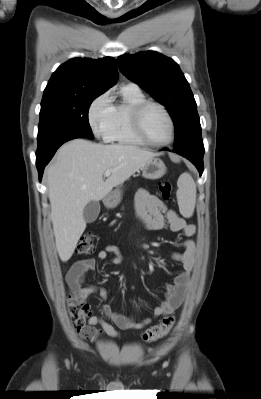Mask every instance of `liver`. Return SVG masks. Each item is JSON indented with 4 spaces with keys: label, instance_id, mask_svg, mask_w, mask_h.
<instances>
[{
    "label": "liver",
    "instance_id": "obj_1",
    "mask_svg": "<svg viewBox=\"0 0 261 399\" xmlns=\"http://www.w3.org/2000/svg\"><path fill=\"white\" fill-rule=\"evenodd\" d=\"M131 145L74 139L63 145L46 169L51 221L61 261H68L86 228L84 207L105 198L117 185L155 157ZM111 175L103 180L105 171Z\"/></svg>",
    "mask_w": 261,
    "mask_h": 399
}]
</instances>
